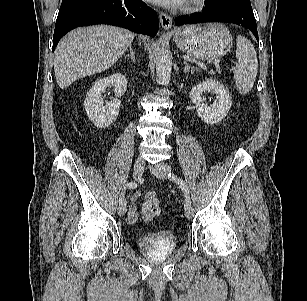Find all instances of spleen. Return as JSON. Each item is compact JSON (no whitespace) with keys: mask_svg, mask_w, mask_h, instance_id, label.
<instances>
[{"mask_svg":"<svg viewBox=\"0 0 307 301\" xmlns=\"http://www.w3.org/2000/svg\"><path fill=\"white\" fill-rule=\"evenodd\" d=\"M236 43L238 64L235 68L234 80L240 94L245 95L252 89L257 76V54L253 44L244 36L238 35Z\"/></svg>","mask_w":307,"mask_h":301,"instance_id":"3e777b00","label":"spleen"}]
</instances>
